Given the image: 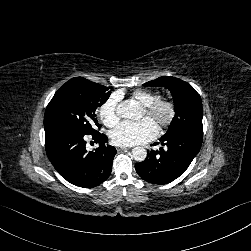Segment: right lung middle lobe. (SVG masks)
Listing matches in <instances>:
<instances>
[{"mask_svg":"<svg viewBox=\"0 0 251 251\" xmlns=\"http://www.w3.org/2000/svg\"><path fill=\"white\" fill-rule=\"evenodd\" d=\"M111 92L105 86L82 77L67 81L49 102L44 116V127L63 125L85 134L100 127L95 117L97 106L104 104Z\"/></svg>","mask_w":251,"mask_h":251,"instance_id":"right-lung-middle-lobe-1","label":"right lung middle lobe"}]
</instances>
